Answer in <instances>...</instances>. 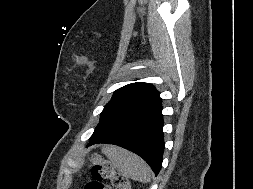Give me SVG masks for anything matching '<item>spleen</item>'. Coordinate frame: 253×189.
Returning <instances> with one entry per match:
<instances>
[{
    "mask_svg": "<svg viewBox=\"0 0 253 189\" xmlns=\"http://www.w3.org/2000/svg\"><path fill=\"white\" fill-rule=\"evenodd\" d=\"M102 153L121 174L136 181L150 182L151 170L147 163L136 154L114 145L102 147Z\"/></svg>",
    "mask_w": 253,
    "mask_h": 189,
    "instance_id": "obj_1",
    "label": "spleen"
}]
</instances>
